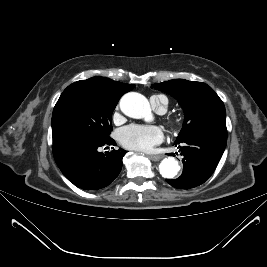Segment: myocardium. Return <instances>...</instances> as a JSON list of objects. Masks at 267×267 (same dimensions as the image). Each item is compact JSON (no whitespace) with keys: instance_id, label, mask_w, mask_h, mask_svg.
I'll return each instance as SVG.
<instances>
[{"instance_id":"f54148a6","label":"myocardium","mask_w":267,"mask_h":267,"mask_svg":"<svg viewBox=\"0 0 267 267\" xmlns=\"http://www.w3.org/2000/svg\"><path fill=\"white\" fill-rule=\"evenodd\" d=\"M168 123L173 129H177L181 126V121L178 118H171L168 120Z\"/></svg>"}]
</instances>
